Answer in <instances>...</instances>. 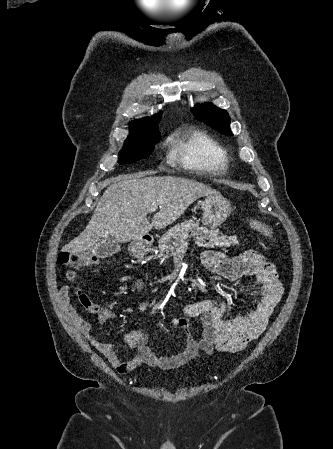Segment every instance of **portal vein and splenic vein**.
Returning a JSON list of instances; mask_svg holds the SVG:
<instances>
[{
    "label": "portal vein and splenic vein",
    "instance_id": "1",
    "mask_svg": "<svg viewBox=\"0 0 333 449\" xmlns=\"http://www.w3.org/2000/svg\"><path fill=\"white\" fill-rule=\"evenodd\" d=\"M157 208H158L157 205L151 206V207L149 208V211H156Z\"/></svg>",
    "mask_w": 333,
    "mask_h": 449
}]
</instances>
